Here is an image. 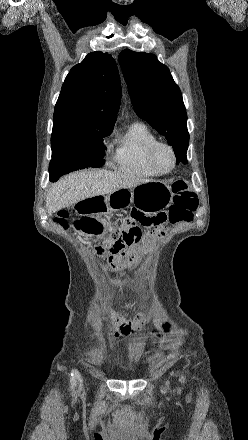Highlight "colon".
Masks as SVG:
<instances>
[{
	"mask_svg": "<svg viewBox=\"0 0 248 440\" xmlns=\"http://www.w3.org/2000/svg\"><path fill=\"white\" fill-rule=\"evenodd\" d=\"M174 193L173 203L167 209L155 215L147 214L146 210L136 207L129 217H124L115 222V231L112 237L114 245L109 250V264L112 268H121L139 258L140 253L133 250H125L126 246L145 243L150 245L154 238L165 233L163 227L166 223H177L192 219L193 212L197 207L196 195L183 181L172 184ZM67 216L61 212L55 222L61 226H67ZM141 227H154L151 232H143Z\"/></svg>",
	"mask_w": 248,
	"mask_h": 440,
	"instance_id": "colon-1",
	"label": "colon"
}]
</instances>
